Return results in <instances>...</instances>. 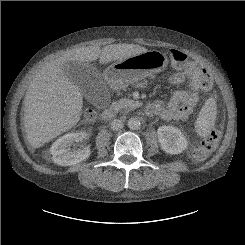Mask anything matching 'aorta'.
I'll list each match as a JSON object with an SVG mask.
<instances>
[{
  "label": "aorta",
  "instance_id": "aorta-1",
  "mask_svg": "<svg viewBox=\"0 0 245 245\" xmlns=\"http://www.w3.org/2000/svg\"><path fill=\"white\" fill-rule=\"evenodd\" d=\"M127 125L130 129L136 130L140 127V121L137 118H130Z\"/></svg>",
  "mask_w": 245,
  "mask_h": 245
}]
</instances>
